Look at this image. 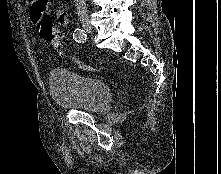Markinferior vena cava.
Listing matches in <instances>:
<instances>
[{"label":"inferior vena cava","instance_id":"inferior-vena-cava-1","mask_svg":"<svg viewBox=\"0 0 221 174\" xmlns=\"http://www.w3.org/2000/svg\"><path fill=\"white\" fill-rule=\"evenodd\" d=\"M74 2H75L78 16L80 17L86 16L87 14L86 0H74Z\"/></svg>","mask_w":221,"mask_h":174}]
</instances>
